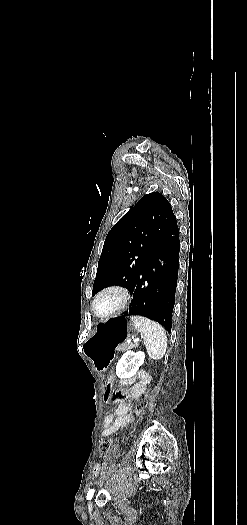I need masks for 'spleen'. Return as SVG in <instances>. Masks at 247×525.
<instances>
[{
    "label": "spleen",
    "instance_id": "obj_1",
    "mask_svg": "<svg viewBox=\"0 0 247 525\" xmlns=\"http://www.w3.org/2000/svg\"><path fill=\"white\" fill-rule=\"evenodd\" d=\"M131 319L135 329L140 331L143 337L150 359H154V361L163 359L167 349V337L163 327L155 321L146 319V317H131Z\"/></svg>",
    "mask_w": 247,
    "mask_h": 525
}]
</instances>
